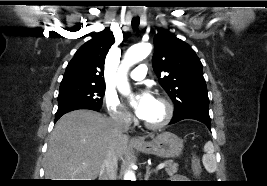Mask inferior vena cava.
Returning a JSON list of instances; mask_svg holds the SVG:
<instances>
[{
	"instance_id": "602c4592",
	"label": "inferior vena cava",
	"mask_w": 267,
	"mask_h": 186,
	"mask_svg": "<svg viewBox=\"0 0 267 186\" xmlns=\"http://www.w3.org/2000/svg\"><path fill=\"white\" fill-rule=\"evenodd\" d=\"M111 133L113 136H121L128 132L130 122L123 115H117L111 119ZM118 162L113 146H110L107 155L101 165L99 180H116Z\"/></svg>"
}]
</instances>
